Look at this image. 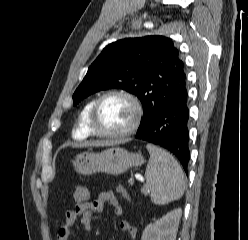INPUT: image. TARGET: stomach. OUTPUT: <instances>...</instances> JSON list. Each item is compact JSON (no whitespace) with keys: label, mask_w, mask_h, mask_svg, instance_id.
Returning <instances> with one entry per match:
<instances>
[{"label":"stomach","mask_w":248,"mask_h":240,"mask_svg":"<svg viewBox=\"0 0 248 240\" xmlns=\"http://www.w3.org/2000/svg\"><path fill=\"white\" fill-rule=\"evenodd\" d=\"M72 163L75 170L84 175L97 172L119 175L131 167L141 166L144 158L141 153H130L121 147H111L100 153H80Z\"/></svg>","instance_id":"obj_1"}]
</instances>
